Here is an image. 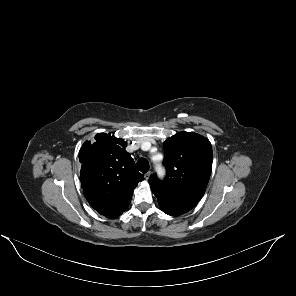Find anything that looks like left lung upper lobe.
<instances>
[{"instance_id": "5c2ea615", "label": "left lung upper lobe", "mask_w": 296, "mask_h": 296, "mask_svg": "<svg viewBox=\"0 0 296 296\" xmlns=\"http://www.w3.org/2000/svg\"><path fill=\"white\" fill-rule=\"evenodd\" d=\"M167 178L156 174L149 184L166 214L181 215L191 210L205 193L212 170L209 140L193 132H180L164 142Z\"/></svg>"}]
</instances>
